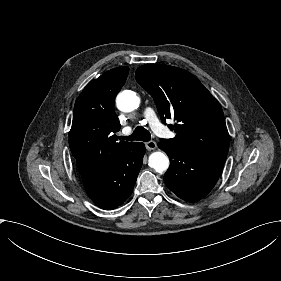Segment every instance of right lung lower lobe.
<instances>
[{"mask_svg":"<svg viewBox=\"0 0 281 281\" xmlns=\"http://www.w3.org/2000/svg\"><path fill=\"white\" fill-rule=\"evenodd\" d=\"M144 153L143 143L132 142L115 163L81 177L88 196L98 207L115 209L131 195Z\"/></svg>","mask_w":281,"mask_h":281,"instance_id":"98d812e1","label":"right lung lower lobe"}]
</instances>
